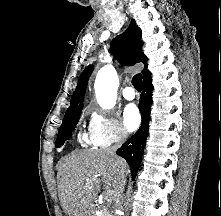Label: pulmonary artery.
Instances as JSON below:
<instances>
[{
    "label": "pulmonary artery",
    "mask_w": 221,
    "mask_h": 216,
    "mask_svg": "<svg viewBox=\"0 0 221 216\" xmlns=\"http://www.w3.org/2000/svg\"><path fill=\"white\" fill-rule=\"evenodd\" d=\"M122 94L126 100H133L136 97L135 90L130 86L125 87Z\"/></svg>",
    "instance_id": "1"
}]
</instances>
